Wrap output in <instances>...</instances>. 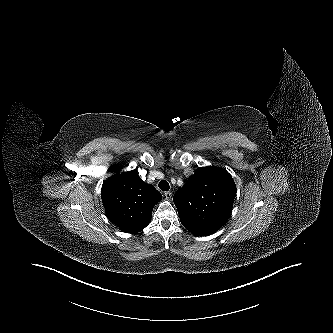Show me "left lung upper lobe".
I'll return each mask as SVG.
<instances>
[{
    "mask_svg": "<svg viewBox=\"0 0 333 333\" xmlns=\"http://www.w3.org/2000/svg\"><path fill=\"white\" fill-rule=\"evenodd\" d=\"M236 185L224 169L198 168L173 198L182 225L196 236L217 231L229 217Z\"/></svg>",
    "mask_w": 333,
    "mask_h": 333,
    "instance_id": "5c2ea615",
    "label": "left lung upper lobe"
}]
</instances>
